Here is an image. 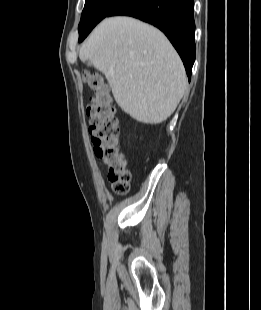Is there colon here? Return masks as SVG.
<instances>
[{"label":"colon","mask_w":261,"mask_h":310,"mask_svg":"<svg viewBox=\"0 0 261 310\" xmlns=\"http://www.w3.org/2000/svg\"><path fill=\"white\" fill-rule=\"evenodd\" d=\"M83 79L94 90V95L87 105V114L90 118L89 131L95 155L105 165L114 192L124 195L130 187L131 172L120 149L117 108L101 74L86 71Z\"/></svg>","instance_id":"5ec220e1"}]
</instances>
